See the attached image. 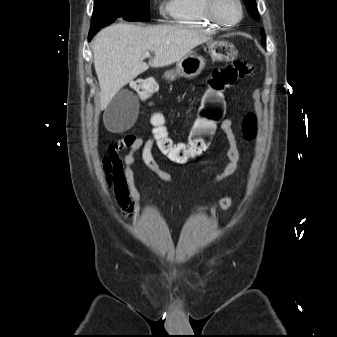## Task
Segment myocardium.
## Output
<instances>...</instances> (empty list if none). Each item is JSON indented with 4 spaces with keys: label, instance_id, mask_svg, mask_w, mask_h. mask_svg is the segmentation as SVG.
Returning a JSON list of instances; mask_svg holds the SVG:
<instances>
[{
    "label": "myocardium",
    "instance_id": "f54148a6",
    "mask_svg": "<svg viewBox=\"0 0 337 337\" xmlns=\"http://www.w3.org/2000/svg\"><path fill=\"white\" fill-rule=\"evenodd\" d=\"M234 1L239 10V17L237 20L227 21L220 15L218 7H219L221 0H205V8H206L207 16L209 17L211 21H213L214 23H216L217 25L221 27L237 26L239 23H241V21L244 18V5H243L242 0H234Z\"/></svg>",
    "mask_w": 337,
    "mask_h": 337
}]
</instances>
